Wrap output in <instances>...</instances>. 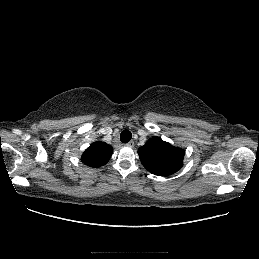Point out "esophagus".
<instances>
[{
    "mask_svg": "<svg viewBox=\"0 0 259 259\" xmlns=\"http://www.w3.org/2000/svg\"><path fill=\"white\" fill-rule=\"evenodd\" d=\"M128 147H134V141H130L126 144Z\"/></svg>",
    "mask_w": 259,
    "mask_h": 259,
    "instance_id": "esophagus-1",
    "label": "esophagus"
}]
</instances>
